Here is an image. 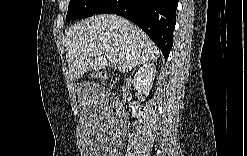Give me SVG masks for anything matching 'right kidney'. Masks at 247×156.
I'll return each mask as SVG.
<instances>
[{
    "label": "right kidney",
    "mask_w": 247,
    "mask_h": 156,
    "mask_svg": "<svg viewBox=\"0 0 247 156\" xmlns=\"http://www.w3.org/2000/svg\"><path fill=\"white\" fill-rule=\"evenodd\" d=\"M156 75V68L153 63H146L136 72L133 83L136 90L145 96H148L153 86V81ZM129 110L132 117H138L141 113V108L137 102L129 104Z\"/></svg>",
    "instance_id": "1"
}]
</instances>
